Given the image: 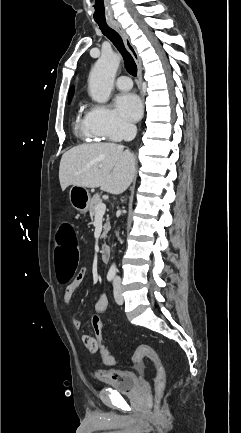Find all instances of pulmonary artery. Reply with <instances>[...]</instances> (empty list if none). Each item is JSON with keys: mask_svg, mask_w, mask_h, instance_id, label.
<instances>
[{"mask_svg": "<svg viewBox=\"0 0 241 433\" xmlns=\"http://www.w3.org/2000/svg\"><path fill=\"white\" fill-rule=\"evenodd\" d=\"M118 89L126 91L131 89L132 81L127 75H121L115 82Z\"/></svg>", "mask_w": 241, "mask_h": 433, "instance_id": "obj_1", "label": "pulmonary artery"}]
</instances>
